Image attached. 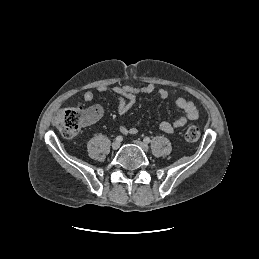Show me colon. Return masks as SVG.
I'll return each mask as SVG.
<instances>
[{"mask_svg":"<svg viewBox=\"0 0 259 259\" xmlns=\"http://www.w3.org/2000/svg\"><path fill=\"white\" fill-rule=\"evenodd\" d=\"M93 115L92 109L87 110L82 106L65 108L57 113L55 124L63 137L73 138ZM200 135L197 127L190 126L185 132V139L188 142H196L200 139Z\"/></svg>","mask_w":259,"mask_h":259,"instance_id":"1","label":"colon"}]
</instances>
